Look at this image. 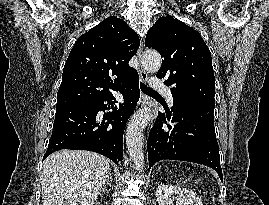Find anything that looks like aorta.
Here are the masks:
<instances>
[{
  "instance_id": "762f6f07",
  "label": "aorta",
  "mask_w": 269,
  "mask_h": 205,
  "mask_svg": "<svg viewBox=\"0 0 269 205\" xmlns=\"http://www.w3.org/2000/svg\"><path fill=\"white\" fill-rule=\"evenodd\" d=\"M141 63L145 70L158 72L161 67V56L156 51L147 50L143 53ZM152 119V110L142 108L131 118L126 130V145L136 169H143V129Z\"/></svg>"
}]
</instances>
